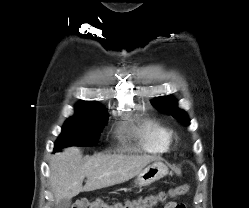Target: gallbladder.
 Returning a JSON list of instances; mask_svg holds the SVG:
<instances>
[{
    "instance_id": "bac80fb5",
    "label": "gallbladder",
    "mask_w": 249,
    "mask_h": 208,
    "mask_svg": "<svg viewBox=\"0 0 249 208\" xmlns=\"http://www.w3.org/2000/svg\"><path fill=\"white\" fill-rule=\"evenodd\" d=\"M71 205L70 199H61L58 203H56V208H69Z\"/></svg>"
}]
</instances>
